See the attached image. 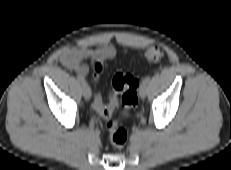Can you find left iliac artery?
<instances>
[{
	"mask_svg": "<svg viewBox=\"0 0 231 170\" xmlns=\"http://www.w3.org/2000/svg\"><path fill=\"white\" fill-rule=\"evenodd\" d=\"M150 81V77L149 76H147V77H145L144 79H143V82L144 83H148Z\"/></svg>",
	"mask_w": 231,
	"mask_h": 170,
	"instance_id": "left-iliac-artery-1",
	"label": "left iliac artery"
}]
</instances>
